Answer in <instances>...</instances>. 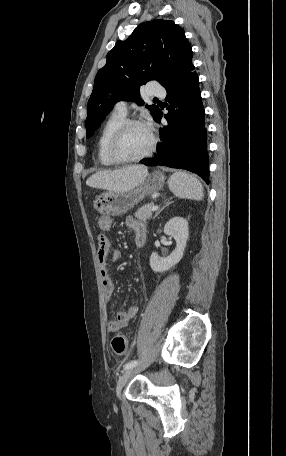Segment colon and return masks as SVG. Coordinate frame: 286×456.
I'll return each mask as SVG.
<instances>
[{
  "mask_svg": "<svg viewBox=\"0 0 286 456\" xmlns=\"http://www.w3.org/2000/svg\"><path fill=\"white\" fill-rule=\"evenodd\" d=\"M111 346L116 355H124L128 349V342L126 336H115L111 341Z\"/></svg>",
  "mask_w": 286,
  "mask_h": 456,
  "instance_id": "1",
  "label": "colon"
}]
</instances>
